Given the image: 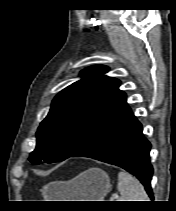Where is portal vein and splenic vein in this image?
Listing matches in <instances>:
<instances>
[{
	"instance_id": "18ae733b",
	"label": "portal vein and splenic vein",
	"mask_w": 176,
	"mask_h": 211,
	"mask_svg": "<svg viewBox=\"0 0 176 211\" xmlns=\"http://www.w3.org/2000/svg\"><path fill=\"white\" fill-rule=\"evenodd\" d=\"M118 198V195H114L110 198V201H114V199H117Z\"/></svg>"
}]
</instances>
